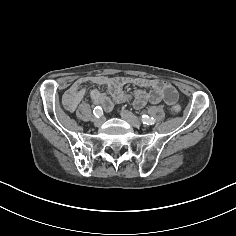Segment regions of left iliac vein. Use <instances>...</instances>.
<instances>
[{"mask_svg": "<svg viewBox=\"0 0 236 236\" xmlns=\"http://www.w3.org/2000/svg\"><path fill=\"white\" fill-rule=\"evenodd\" d=\"M121 117L134 127L138 128L141 126L140 120L135 115H133L131 112H129L127 110L121 111Z\"/></svg>", "mask_w": 236, "mask_h": 236, "instance_id": "obj_1", "label": "left iliac vein"}]
</instances>
